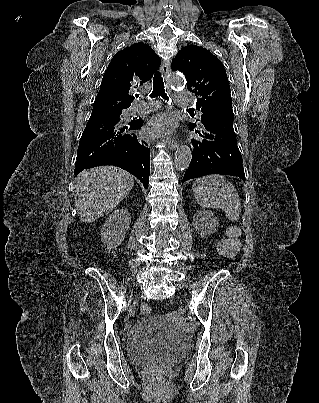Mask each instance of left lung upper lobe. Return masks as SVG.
<instances>
[{"label": "left lung upper lobe", "mask_w": 319, "mask_h": 403, "mask_svg": "<svg viewBox=\"0 0 319 403\" xmlns=\"http://www.w3.org/2000/svg\"><path fill=\"white\" fill-rule=\"evenodd\" d=\"M172 69L186 76L187 88L196 94L201 120L217 114H233L224 65L208 50L195 45L182 48L172 61Z\"/></svg>", "instance_id": "left-lung-upper-lobe-1"}]
</instances>
